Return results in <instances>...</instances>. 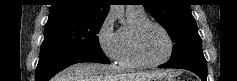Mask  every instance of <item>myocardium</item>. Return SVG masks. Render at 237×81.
I'll list each match as a JSON object with an SVG mask.
<instances>
[{
	"instance_id": "obj_1",
	"label": "myocardium",
	"mask_w": 237,
	"mask_h": 81,
	"mask_svg": "<svg viewBox=\"0 0 237 81\" xmlns=\"http://www.w3.org/2000/svg\"><path fill=\"white\" fill-rule=\"evenodd\" d=\"M150 26H155L158 29H160L162 33L165 35V37L167 38L168 43H169V51H168L167 56L164 59L157 62H150V61L145 60L141 52L140 41H141L142 34ZM130 41H131V49H132L134 58L141 66H144V67L161 66L167 63L171 59L174 52V42L171 35L169 34V32L166 30L164 26H162L160 23L156 21L147 20L145 22H142L136 25L131 31Z\"/></svg>"
}]
</instances>
